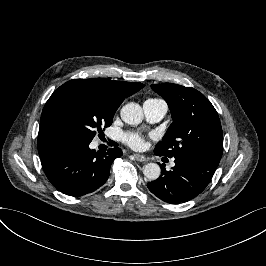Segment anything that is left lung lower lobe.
<instances>
[{
    "label": "left lung lower lobe",
    "instance_id": "0a47b994",
    "mask_svg": "<svg viewBox=\"0 0 266 266\" xmlns=\"http://www.w3.org/2000/svg\"><path fill=\"white\" fill-rule=\"evenodd\" d=\"M174 158L172 170L167 171L163 164L160 165L162 174L147 186L159 199L180 204L195 198L206 188L219 163L198 155L183 154Z\"/></svg>",
    "mask_w": 266,
    "mask_h": 266
}]
</instances>
